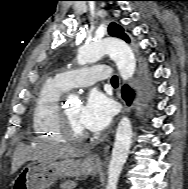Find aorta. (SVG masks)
<instances>
[{
  "instance_id": "1",
  "label": "aorta",
  "mask_w": 188,
  "mask_h": 189,
  "mask_svg": "<svg viewBox=\"0 0 188 189\" xmlns=\"http://www.w3.org/2000/svg\"><path fill=\"white\" fill-rule=\"evenodd\" d=\"M106 54L116 63L124 81L133 76L136 68L134 53L124 41L117 38L107 37L80 47L77 62L79 65L94 63ZM76 100V95L71 94L68 96L69 102ZM131 142L132 125L127 117H123L116 131L115 143L108 166V183L106 189H117L119 176L128 158Z\"/></svg>"
}]
</instances>
